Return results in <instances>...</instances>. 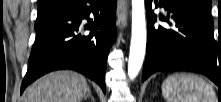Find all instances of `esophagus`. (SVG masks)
<instances>
[{"instance_id": "34e87169", "label": "esophagus", "mask_w": 221, "mask_h": 102, "mask_svg": "<svg viewBox=\"0 0 221 102\" xmlns=\"http://www.w3.org/2000/svg\"><path fill=\"white\" fill-rule=\"evenodd\" d=\"M127 2L120 0L117 8L118 24L120 27H124L126 24Z\"/></svg>"}]
</instances>
